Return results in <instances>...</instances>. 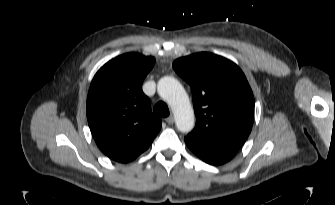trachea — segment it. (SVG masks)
<instances>
[{
  "instance_id": "1",
  "label": "trachea",
  "mask_w": 335,
  "mask_h": 205,
  "mask_svg": "<svg viewBox=\"0 0 335 205\" xmlns=\"http://www.w3.org/2000/svg\"><path fill=\"white\" fill-rule=\"evenodd\" d=\"M153 112L161 117H167L169 116V109L165 102L159 101L153 108Z\"/></svg>"
}]
</instances>
